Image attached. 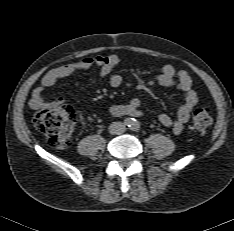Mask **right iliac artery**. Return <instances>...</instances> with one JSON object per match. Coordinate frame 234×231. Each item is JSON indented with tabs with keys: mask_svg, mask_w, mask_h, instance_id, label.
<instances>
[{
	"mask_svg": "<svg viewBox=\"0 0 234 231\" xmlns=\"http://www.w3.org/2000/svg\"><path fill=\"white\" fill-rule=\"evenodd\" d=\"M124 124L127 126H131L133 124V119L132 118H126L124 120Z\"/></svg>",
	"mask_w": 234,
	"mask_h": 231,
	"instance_id": "1",
	"label": "right iliac artery"
}]
</instances>
